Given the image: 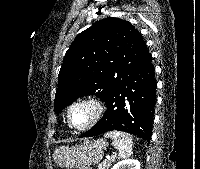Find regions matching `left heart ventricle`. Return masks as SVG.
Returning <instances> with one entry per match:
<instances>
[{
	"label": "left heart ventricle",
	"mask_w": 200,
	"mask_h": 169,
	"mask_svg": "<svg viewBox=\"0 0 200 169\" xmlns=\"http://www.w3.org/2000/svg\"><path fill=\"white\" fill-rule=\"evenodd\" d=\"M92 116V110L89 106H77L72 110L71 117L72 122L76 126H82L86 124Z\"/></svg>",
	"instance_id": "1"
}]
</instances>
